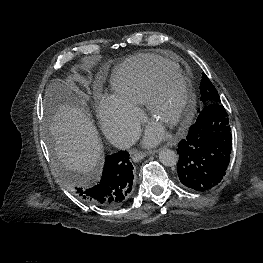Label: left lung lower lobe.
Listing matches in <instances>:
<instances>
[{"mask_svg": "<svg viewBox=\"0 0 263 263\" xmlns=\"http://www.w3.org/2000/svg\"><path fill=\"white\" fill-rule=\"evenodd\" d=\"M231 146V128L224 107L206 106L178 143L177 173L181 183L200 192L216 186L226 174Z\"/></svg>", "mask_w": 263, "mask_h": 263, "instance_id": "0a47b994", "label": "left lung lower lobe"}]
</instances>
